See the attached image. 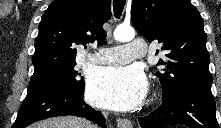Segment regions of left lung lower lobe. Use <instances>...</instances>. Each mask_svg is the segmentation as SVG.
I'll use <instances>...</instances> for the list:
<instances>
[{"label":"left lung lower lobe","instance_id":"left-lung-lower-lobe-1","mask_svg":"<svg viewBox=\"0 0 221 128\" xmlns=\"http://www.w3.org/2000/svg\"><path fill=\"white\" fill-rule=\"evenodd\" d=\"M139 123L142 128L171 124H183L190 128H219L211 88L205 87H191L169 100H163L158 109L139 118Z\"/></svg>","mask_w":221,"mask_h":128}]
</instances>
